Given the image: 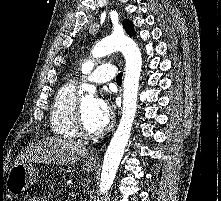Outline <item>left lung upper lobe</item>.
Segmentation results:
<instances>
[{"label": "left lung upper lobe", "instance_id": "obj_1", "mask_svg": "<svg viewBox=\"0 0 221 201\" xmlns=\"http://www.w3.org/2000/svg\"><path fill=\"white\" fill-rule=\"evenodd\" d=\"M123 27L125 28V31L127 32V34H129L130 36H135L134 27L130 20L125 19L123 21Z\"/></svg>", "mask_w": 221, "mask_h": 201}]
</instances>
